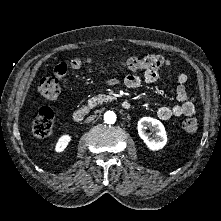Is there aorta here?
<instances>
[{"label": "aorta", "instance_id": "762f6f07", "mask_svg": "<svg viewBox=\"0 0 221 221\" xmlns=\"http://www.w3.org/2000/svg\"><path fill=\"white\" fill-rule=\"evenodd\" d=\"M116 114L114 111H106L104 114V122L107 124H114L116 121Z\"/></svg>", "mask_w": 221, "mask_h": 221}]
</instances>
